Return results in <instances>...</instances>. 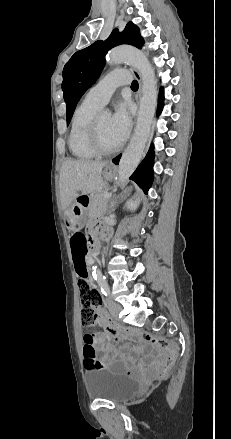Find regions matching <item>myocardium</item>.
<instances>
[{
    "label": "myocardium",
    "instance_id": "obj_1",
    "mask_svg": "<svg viewBox=\"0 0 231 439\" xmlns=\"http://www.w3.org/2000/svg\"><path fill=\"white\" fill-rule=\"evenodd\" d=\"M88 139L92 149L98 155H111L120 149V145L107 148L101 143L99 134V113H96L90 122Z\"/></svg>",
    "mask_w": 231,
    "mask_h": 439
}]
</instances>
